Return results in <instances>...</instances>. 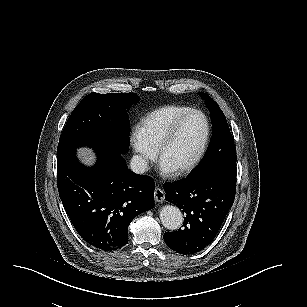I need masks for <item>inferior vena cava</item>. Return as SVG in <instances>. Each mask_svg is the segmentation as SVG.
Segmentation results:
<instances>
[{
    "label": "inferior vena cava",
    "mask_w": 307,
    "mask_h": 307,
    "mask_svg": "<svg viewBox=\"0 0 307 307\" xmlns=\"http://www.w3.org/2000/svg\"><path fill=\"white\" fill-rule=\"evenodd\" d=\"M129 167L133 173L142 175L148 170V159L143 155H133L130 159Z\"/></svg>",
    "instance_id": "1"
}]
</instances>
